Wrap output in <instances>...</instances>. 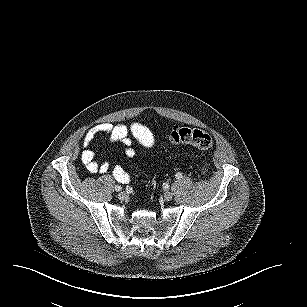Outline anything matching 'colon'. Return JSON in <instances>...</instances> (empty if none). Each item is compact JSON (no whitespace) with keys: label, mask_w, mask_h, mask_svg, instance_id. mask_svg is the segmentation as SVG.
Here are the masks:
<instances>
[{"label":"colon","mask_w":307,"mask_h":307,"mask_svg":"<svg viewBox=\"0 0 307 307\" xmlns=\"http://www.w3.org/2000/svg\"><path fill=\"white\" fill-rule=\"evenodd\" d=\"M169 141L175 145H190L200 150L210 151L213 148V139L205 131L191 128H177L169 136ZM207 165L202 169L206 174Z\"/></svg>","instance_id":"colon-1"}]
</instances>
